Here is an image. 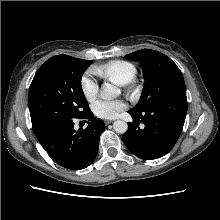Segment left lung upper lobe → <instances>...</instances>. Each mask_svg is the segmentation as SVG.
Returning <instances> with one entry per match:
<instances>
[{"instance_id":"5c2ea615","label":"left lung upper lobe","mask_w":220,"mask_h":220,"mask_svg":"<svg viewBox=\"0 0 220 220\" xmlns=\"http://www.w3.org/2000/svg\"><path fill=\"white\" fill-rule=\"evenodd\" d=\"M125 57L139 61L146 78L142 97L131 111L143 113L159 102L186 98L182 73L169 57L151 49L138 50Z\"/></svg>"}]
</instances>
